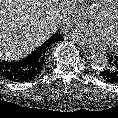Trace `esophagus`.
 <instances>
[{"label":"esophagus","mask_w":118,"mask_h":118,"mask_svg":"<svg viewBox=\"0 0 118 118\" xmlns=\"http://www.w3.org/2000/svg\"><path fill=\"white\" fill-rule=\"evenodd\" d=\"M81 49H82L85 53H87V54H93V53L95 52L94 50L89 49V48H87V47L84 46V45H81Z\"/></svg>","instance_id":"obj_1"}]
</instances>
